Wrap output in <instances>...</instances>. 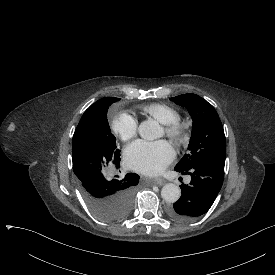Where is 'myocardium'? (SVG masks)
Listing matches in <instances>:
<instances>
[{"label": "myocardium", "mask_w": 275, "mask_h": 275, "mask_svg": "<svg viewBox=\"0 0 275 275\" xmlns=\"http://www.w3.org/2000/svg\"><path fill=\"white\" fill-rule=\"evenodd\" d=\"M164 135L175 144H182L187 137L186 127L180 121H175L163 126Z\"/></svg>", "instance_id": "1"}]
</instances>
